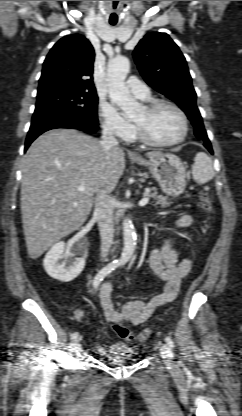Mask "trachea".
Wrapping results in <instances>:
<instances>
[{
  "mask_svg": "<svg viewBox=\"0 0 242 416\" xmlns=\"http://www.w3.org/2000/svg\"><path fill=\"white\" fill-rule=\"evenodd\" d=\"M111 25H115L116 23H110Z\"/></svg>",
  "mask_w": 242,
  "mask_h": 416,
  "instance_id": "obj_1",
  "label": "trachea"
}]
</instances>
